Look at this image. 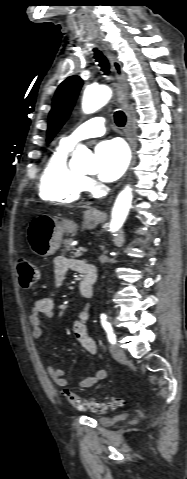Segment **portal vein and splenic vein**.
Returning a JSON list of instances; mask_svg holds the SVG:
<instances>
[{
  "mask_svg": "<svg viewBox=\"0 0 187 479\" xmlns=\"http://www.w3.org/2000/svg\"><path fill=\"white\" fill-rule=\"evenodd\" d=\"M77 252L78 253L87 252V249L85 247L79 246L78 249H77Z\"/></svg>",
  "mask_w": 187,
  "mask_h": 479,
  "instance_id": "obj_1",
  "label": "portal vein and splenic vein"
}]
</instances>
